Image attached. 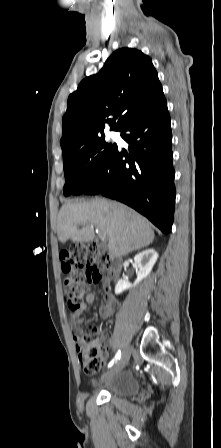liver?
I'll return each instance as SVG.
<instances>
[{
	"instance_id": "6515ba94",
	"label": "liver",
	"mask_w": 221,
	"mask_h": 448,
	"mask_svg": "<svg viewBox=\"0 0 221 448\" xmlns=\"http://www.w3.org/2000/svg\"><path fill=\"white\" fill-rule=\"evenodd\" d=\"M82 225V228L78 226ZM98 229L112 256H125L151 244L154 231L149 222L126 205L95 199L82 203H66L57 218V234L61 243L68 239L88 243Z\"/></svg>"
}]
</instances>
